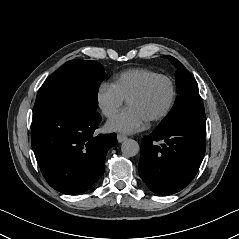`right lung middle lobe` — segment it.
Returning <instances> with one entry per match:
<instances>
[{
	"mask_svg": "<svg viewBox=\"0 0 239 239\" xmlns=\"http://www.w3.org/2000/svg\"><path fill=\"white\" fill-rule=\"evenodd\" d=\"M105 78L103 66L92 60H71L49 76L38 91L33 119L64 104L87 111L98 108L97 93Z\"/></svg>",
	"mask_w": 239,
	"mask_h": 239,
	"instance_id": "1",
	"label": "right lung middle lobe"
}]
</instances>
